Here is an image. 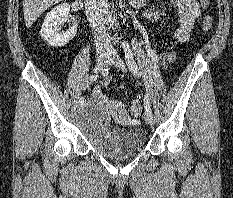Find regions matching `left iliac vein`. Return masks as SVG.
<instances>
[{
  "mask_svg": "<svg viewBox=\"0 0 233 198\" xmlns=\"http://www.w3.org/2000/svg\"><path fill=\"white\" fill-rule=\"evenodd\" d=\"M115 54H116V52H115V50H113V51L111 52V58H112V56H114ZM110 61H111V59H110ZM114 64H115V66H116L119 70H121V71H123V72L126 70V67H125L123 61H122L118 56H117V60L114 62ZM145 120H146V122H147L149 125H153L154 122H155L154 116H153V114L150 113V112H145Z\"/></svg>",
  "mask_w": 233,
  "mask_h": 198,
  "instance_id": "1",
  "label": "left iliac vein"
}]
</instances>
